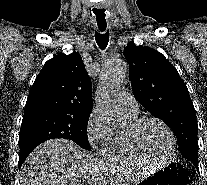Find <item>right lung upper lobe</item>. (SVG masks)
Instances as JSON below:
<instances>
[{
    "label": "right lung upper lobe",
    "instance_id": "cb5924a9",
    "mask_svg": "<svg viewBox=\"0 0 207 185\" xmlns=\"http://www.w3.org/2000/svg\"><path fill=\"white\" fill-rule=\"evenodd\" d=\"M92 85L78 52L48 60L36 77L25 112L51 111L90 115Z\"/></svg>",
    "mask_w": 207,
    "mask_h": 185
}]
</instances>
